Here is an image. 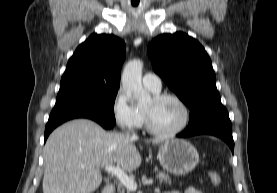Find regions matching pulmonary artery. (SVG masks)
<instances>
[{
    "mask_svg": "<svg viewBox=\"0 0 277 193\" xmlns=\"http://www.w3.org/2000/svg\"><path fill=\"white\" fill-rule=\"evenodd\" d=\"M143 85L152 92H159L162 84L160 78L154 73H146L142 77Z\"/></svg>",
    "mask_w": 277,
    "mask_h": 193,
    "instance_id": "pulmonary-artery-1",
    "label": "pulmonary artery"
}]
</instances>
